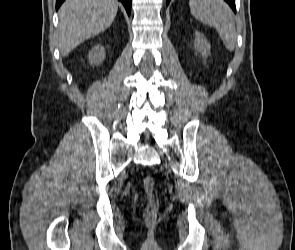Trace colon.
<instances>
[{
    "label": "colon",
    "instance_id": "1",
    "mask_svg": "<svg viewBox=\"0 0 295 250\" xmlns=\"http://www.w3.org/2000/svg\"><path fill=\"white\" fill-rule=\"evenodd\" d=\"M144 191L149 199V205L145 209L144 218L147 222H153L157 217L155 181L151 176H148L143 181Z\"/></svg>",
    "mask_w": 295,
    "mask_h": 250
}]
</instances>
